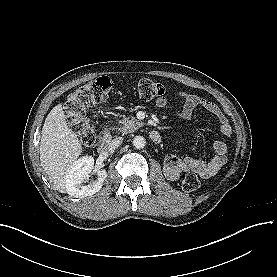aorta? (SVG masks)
Masks as SVG:
<instances>
[{
	"label": "aorta",
	"mask_w": 277,
	"mask_h": 277,
	"mask_svg": "<svg viewBox=\"0 0 277 277\" xmlns=\"http://www.w3.org/2000/svg\"><path fill=\"white\" fill-rule=\"evenodd\" d=\"M132 144H133V147H134L135 149L140 150V149H143V148L146 146V141H145V139H144L143 137H141V136H136V137L133 139Z\"/></svg>",
	"instance_id": "1"
}]
</instances>
